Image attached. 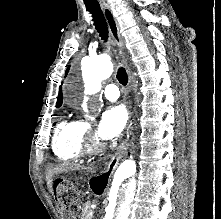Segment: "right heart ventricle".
<instances>
[{"instance_id":"right-heart-ventricle-1","label":"right heart ventricle","mask_w":221,"mask_h":219,"mask_svg":"<svg viewBox=\"0 0 221 219\" xmlns=\"http://www.w3.org/2000/svg\"><path fill=\"white\" fill-rule=\"evenodd\" d=\"M86 124L78 119H64L53 136V152L63 162H75L84 154Z\"/></svg>"}]
</instances>
